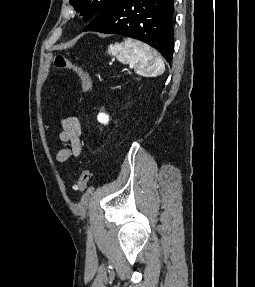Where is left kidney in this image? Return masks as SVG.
Segmentation results:
<instances>
[{
    "mask_svg": "<svg viewBox=\"0 0 255 287\" xmlns=\"http://www.w3.org/2000/svg\"><path fill=\"white\" fill-rule=\"evenodd\" d=\"M97 120L101 122V124H108L109 116H107V114H98Z\"/></svg>",
    "mask_w": 255,
    "mask_h": 287,
    "instance_id": "left-kidney-1",
    "label": "left kidney"
}]
</instances>
